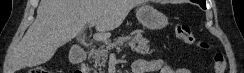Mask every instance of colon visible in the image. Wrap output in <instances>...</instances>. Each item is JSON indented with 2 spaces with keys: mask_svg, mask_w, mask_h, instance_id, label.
I'll use <instances>...</instances> for the list:
<instances>
[{
  "mask_svg": "<svg viewBox=\"0 0 244 73\" xmlns=\"http://www.w3.org/2000/svg\"><path fill=\"white\" fill-rule=\"evenodd\" d=\"M176 37L188 46H196L198 44L190 25L178 22L175 25ZM201 46L205 47V43H201ZM214 68L216 73H225L226 60L223 54L216 53L213 59ZM30 73H47V71L41 67H35L30 70Z\"/></svg>",
  "mask_w": 244,
  "mask_h": 73,
  "instance_id": "colon-1",
  "label": "colon"
}]
</instances>
